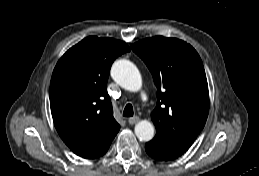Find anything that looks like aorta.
I'll use <instances>...</instances> for the list:
<instances>
[{
  "label": "aorta",
  "mask_w": 259,
  "mask_h": 176,
  "mask_svg": "<svg viewBox=\"0 0 259 176\" xmlns=\"http://www.w3.org/2000/svg\"><path fill=\"white\" fill-rule=\"evenodd\" d=\"M112 78L124 89L137 92L142 87V78L137 67L129 60L114 62L111 68ZM135 134L142 141H150L154 137L155 128L149 121H140L135 125Z\"/></svg>",
  "instance_id": "aorta-1"
}]
</instances>
